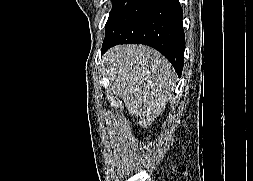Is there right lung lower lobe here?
Wrapping results in <instances>:
<instances>
[{"mask_svg":"<svg viewBox=\"0 0 253 181\" xmlns=\"http://www.w3.org/2000/svg\"><path fill=\"white\" fill-rule=\"evenodd\" d=\"M140 43L162 53L181 76L185 34L178 0H135L106 30L101 52L117 44Z\"/></svg>","mask_w":253,"mask_h":181,"instance_id":"right-lung-lower-lobe-1","label":"right lung lower lobe"}]
</instances>
